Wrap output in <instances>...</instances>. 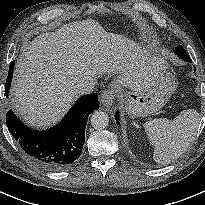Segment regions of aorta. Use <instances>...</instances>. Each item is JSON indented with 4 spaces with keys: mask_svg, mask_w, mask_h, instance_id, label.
Listing matches in <instances>:
<instances>
[{
    "mask_svg": "<svg viewBox=\"0 0 205 205\" xmlns=\"http://www.w3.org/2000/svg\"><path fill=\"white\" fill-rule=\"evenodd\" d=\"M109 124V117L107 113L102 111H96L91 117V125L98 130L104 129Z\"/></svg>",
    "mask_w": 205,
    "mask_h": 205,
    "instance_id": "762f6f07",
    "label": "aorta"
}]
</instances>
